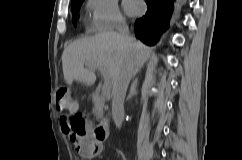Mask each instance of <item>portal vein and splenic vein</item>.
<instances>
[{
    "label": "portal vein and splenic vein",
    "mask_w": 242,
    "mask_h": 160,
    "mask_svg": "<svg viewBox=\"0 0 242 160\" xmlns=\"http://www.w3.org/2000/svg\"><path fill=\"white\" fill-rule=\"evenodd\" d=\"M87 67L90 68V69H99L100 70L102 76L104 77V84H103V88H102V93L104 95L107 94L111 89V81H110V77H109L107 70L104 69V68H100L96 65H92V64H87Z\"/></svg>",
    "instance_id": "obj_1"
}]
</instances>
